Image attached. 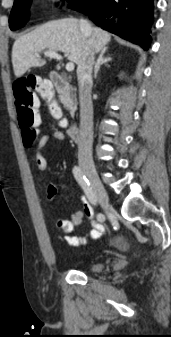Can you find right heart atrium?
I'll list each match as a JSON object with an SVG mask.
<instances>
[{"instance_id":"right-heart-atrium-1","label":"right heart atrium","mask_w":171,"mask_h":337,"mask_svg":"<svg viewBox=\"0 0 171 337\" xmlns=\"http://www.w3.org/2000/svg\"><path fill=\"white\" fill-rule=\"evenodd\" d=\"M50 3H58L60 0H47Z\"/></svg>"}]
</instances>
